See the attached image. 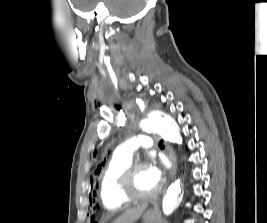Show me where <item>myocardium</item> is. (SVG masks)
Here are the masks:
<instances>
[{
    "instance_id": "1",
    "label": "myocardium",
    "mask_w": 267,
    "mask_h": 223,
    "mask_svg": "<svg viewBox=\"0 0 267 223\" xmlns=\"http://www.w3.org/2000/svg\"><path fill=\"white\" fill-rule=\"evenodd\" d=\"M147 167V162L145 160H138L132 162L126 170L122 173L119 181V188L123 199L129 202H143L154 199L160 192V187L155 191L147 194L138 193L134 189V176L136 172Z\"/></svg>"
}]
</instances>
